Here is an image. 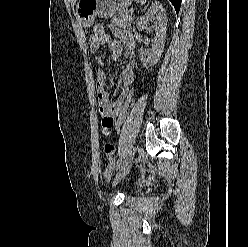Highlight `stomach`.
I'll use <instances>...</instances> for the list:
<instances>
[{
  "label": "stomach",
  "mask_w": 248,
  "mask_h": 247,
  "mask_svg": "<svg viewBox=\"0 0 248 247\" xmlns=\"http://www.w3.org/2000/svg\"><path fill=\"white\" fill-rule=\"evenodd\" d=\"M131 3L132 0H79L76 16L85 27H90L97 16L110 17L117 9L126 8Z\"/></svg>",
  "instance_id": "stomach-1"
}]
</instances>
